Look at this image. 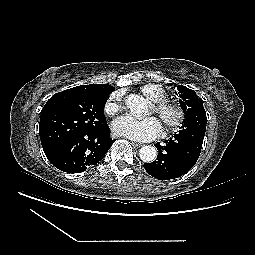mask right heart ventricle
I'll return each instance as SVG.
<instances>
[{"label":"right heart ventricle","mask_w":255,"mask_h":255,"mask_svg":"<svg viewBox=\"0 0 255 255\" xmlns=\"http://www.w3.org/2000/svg\"><path fill=\"white\" fill-rule=\"evenodd\" d=\"M140 93L149 101L159 103L167 99V92L159 85L146 84L140 88Z\"/></svg>","instance_id":"1"}]
</instances>
